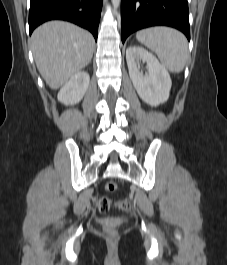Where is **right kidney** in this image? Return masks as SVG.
I'll return each mask as SVG.
<instances>
[{
	"label": "right kidney",
	"mask_w": 227,
	"mask_h": 265,
	"mask_svg": "<svg viewBox=\"0 0 227 265\" xmlns=\"http://www.w3.org/2000/svg\"><path fill=\"white\" fill-rule=\"evenodd\" d=\"M90 82V76L85 71H80L63 85L58 93V101L64 105L77 104L84 97Z\"/></svg>",
	"instance_id": "1"
}]
</instances>
